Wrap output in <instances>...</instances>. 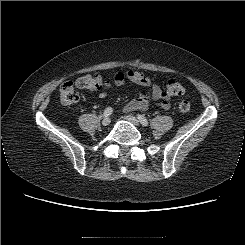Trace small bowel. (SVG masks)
<instances>
[{"label":"small bowel","instance_id":"1","mask_svg":"<svg viewBox=\"0 0 245 245\" xmlns=\"http://www.w3.org/2000/svg\"><path fill=\"white\" fill-rule=\"evenodd\" d=\"M127 82L142 87H148L152 85V88L149 92L138 93L135 96V98H133L124 106L125 112H134L138 110L145 111L149 108L151 103L158 104L164 110L170 109L171 99L169 95L165 91H163L158 85L153 84L150 76L137 70H128L126 72H119L114 75V85L123 87L127 85ZM111 85V83L107 82L104 85V87L99 91V96L101 98L106 97L107 89Z\"/></svg>","mask_w":245,"mask_h":245}]
</instances>
